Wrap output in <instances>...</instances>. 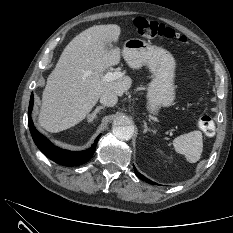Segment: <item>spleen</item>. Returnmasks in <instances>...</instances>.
<instances>
[{"mask_svg": "<svg viewBox=\"0 0 233 233\" xmlns=\"http://www.w3.org/2000/svg\"><path fill=\"white\" fill-rule=\"evenodd\" d=\"M173 147L179 154H183L188 162L196 163L203 151L202 133L193 131L182 134L173 140Z\"/></svg>", "mask_w": 233, "mask_h": 233, "instance_id": "obj_1", "label": "spleen"}]
</instances>
